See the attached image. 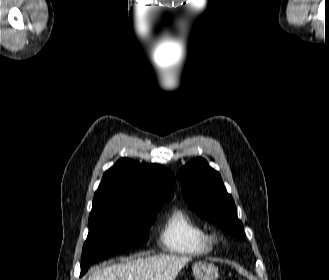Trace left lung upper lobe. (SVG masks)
I'll list each match as a JSON object with an SVG mask.
<instances>
[{"label":"left lung upper lobe","mask_w":329,"mask_h":280,"mask_svg":"<svg viewBox=\"0 0 329 280\" xmlns=\"http://www.w3.org/2000/svg\"><path fill=\"white\" fill-rule=\"evenodd\" d=\"M177 178L181 180L184 199L192 210L222 230L245 238L232 196L227 193L220 174L204 159L190 161L179 170Z\"/></svg>","instance_id":"1"}]
</instances>
